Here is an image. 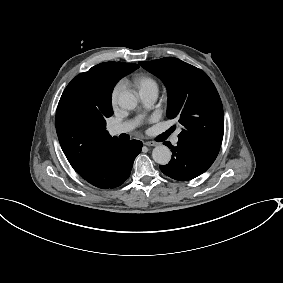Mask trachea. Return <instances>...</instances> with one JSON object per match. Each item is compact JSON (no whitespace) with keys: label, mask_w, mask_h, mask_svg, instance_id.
I'll return each instance as SVG.
<instances>
[{"label":"trachea","mask_w":283,"mask_h":283,"mask_svg":"<svg viewBox=\"0 0 283 283\" xmlns=\"http://www.w3.org/2000/svg\"><path fill=\"white\" fill-rule=\"evenodd\" d=\"M174 130H175V128L172 127V131L171 132H173Z\"/></svg>","instance_id":"3493384b"}]
</instances>
